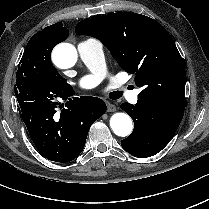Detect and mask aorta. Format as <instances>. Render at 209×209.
Listing matches in <instances>:
<instances>
[{"instance_id": "1", "label": "aorta", "mask_w": 209, "mask_h": 209, "mask_svg": "<svg viewBox=\"0 0 209 209\" xmlns=\"http://www.w3.org/2000/svg\"><path fill=\"white\" fill-rule=\"evenodd\" d=\"M52 57L59 68L65 69L76 63L77 51L72 44L61 43L53 50ZM110 127L116 135L126 137L133 130L132 119L126 113H115L110 119Z\"/></svg>"}]
</instances>
